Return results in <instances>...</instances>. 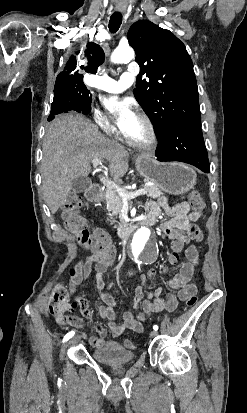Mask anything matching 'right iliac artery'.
I'll list each match as a JSON object with an SVG mask.
<instances>
[{"label":"right iliac artery","mask_w":247,"mask_h":413,"mask_svg":"<svg viewBox=\"0 0 247 413\" xmlns=\"http://www.w3.org/2000/svg\"><path fill=\"white\" fill-rule=\"evenodd\" d=\"M74 334H75L74 331H71V332L67 333L63 338V342L68 341L70 338H72L74 336Z\"/></svg>","instance_id":"right-iliac-artery-1"}]
</instances>
